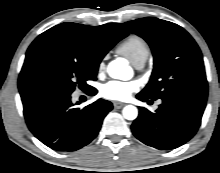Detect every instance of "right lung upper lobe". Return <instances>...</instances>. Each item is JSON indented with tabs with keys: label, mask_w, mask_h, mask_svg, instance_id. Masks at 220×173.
Here are the masks:
<instances>
[{
	"label": "right lung upper lobe",
	"mask_w": 220,
	"mask_h": 173,
	"mask_svg": "<svg viewBox=\"0 0 220 173\" xmlns=\"http://www.w3.org/2000/svg\"><path fill=\"white\" fill-rule=\"evenodd\" d=\"M128 33L118 24L87 26L76 23H62L40 34L30 45L19 75L18 88L22 92L35 88L33 70L40 57L54 44L65 43L82 50L86 57L100 62L107 52Z\"/></svg>",
	"instance_id": "cb5924a9"
}]
</instances>
